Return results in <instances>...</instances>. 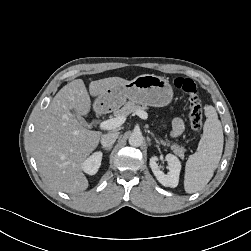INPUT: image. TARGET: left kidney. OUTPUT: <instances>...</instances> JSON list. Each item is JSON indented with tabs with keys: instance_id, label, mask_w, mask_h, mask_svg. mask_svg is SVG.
I'll list each match as a JSON object with an SVG mask.
<instances>
[{
	"instance_id": "5707ae66",
	"label": "left kidney",
	"mask_w": 251,
	"mask_h": 251,
	"mask_svg": "<svg viewBox=\"0 0 251 251\" xmlns=\"http://www.w3.org/2000/svg\"><path fill=\"white\" fill-rule=\"evenodd\" d=\"M157 161L158 158L156 156L150 158V167L156 179L165 187H177L181 171V162L179 159L172 154L166 155V161L169 165V172L167 174L160 170Z\"/></svg>"
}]
</instances>
